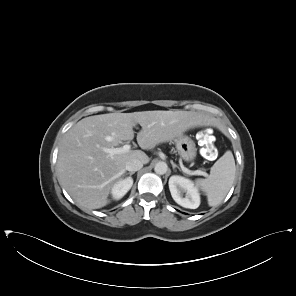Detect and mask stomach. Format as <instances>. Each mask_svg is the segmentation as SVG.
Wrapping results in <instances>:
<instances>
[{
	"instance_id": "stomach-1",
	"label": "stomach",
	"mask_w": 296,
	"mask_h": 296,
	"mask_svg": "<svg viewBox=\"0 0 296 296\" xmlns=\"http://www.w3.org/2000/svg\"><path fill=\"white\" fill-rule=\"evenodd\" d=\"M175 142L180 157L186 162L194 161L197 154V148L194 141L190 137L182 134L176 138Z\"/></svg>"
}]
</instances>
